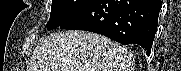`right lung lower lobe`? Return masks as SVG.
Segmentation results:
<instances>
[{
	"label": "right lung lower lobe",
	"mask_w": 181,
	"mask_h": 71,
	"mask_svg": "<svg viewBox=\"0 0 181 71\" xmlns=\"http://www.w3.org/2000/svg\"><path fill=\"white\" fill-rule=\"evenodd\" d=\"M161 0H94L61 29L105 35L121 44H138L151 53Z\"/></svg>",
	"instance_id": "obj_1"
}]
</instances>
